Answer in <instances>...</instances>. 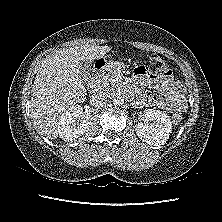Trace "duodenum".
Here are the masks:
<instances>
[{
  "instance_id": "1",
  "label": "duodenum",
  "mask_w": 222,
  "mask_h": 222,
  "mask_svg": "<svg viewBox=\"0 0 222 222\" xmlns=\"http://www.w3.org/2000/svg\"><path fill=\"white\" fill-rule=\"evenodd\" d=\"M104 65V63H100L98 62L97 63V68H98V71L97 73L91 78V80L89 81V84H88V88H89V91L91 93H94L96 90H97V86L99 84V81L101 79V76H102V66Z\"/></svg>"
}]
</instances>
